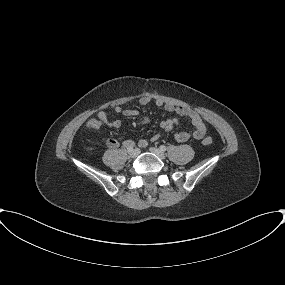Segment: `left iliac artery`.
<instances>
[{"label": "left iliac artery", "instance_id": "44dca946", "mask_svg": "<svg viewBox=\"0 0 285 285\" xmlns=\"http://www.w3.org/2000/svg\"><path fill=\"white\" fill-rule=\"evenodd\" d=\"M160 149H161L162 151H166V150H167L166 146H164V145H161V146H160Z\"/></svg>", "mask_w": 285, "mask_h": 285}]
</instances>
